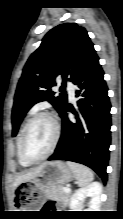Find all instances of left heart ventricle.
<instances>
[{
    "label": "left heart ventricle",
    "instance_id": "1",
    "mask_svg": "<svg viewBox=\"0 0 123 219\" xmlns=\"http://www.w3.org/2000/svg\"><path fill=\"white\" fill-rule=\"evenodd\" d=\"M54 135L52 123L44 117L35 119L29 126L24 150L31 159L42 157L49 149Z\"/></svg>",
    "mask_w": 123,
    "mask_h": 219
}]
</instances>
